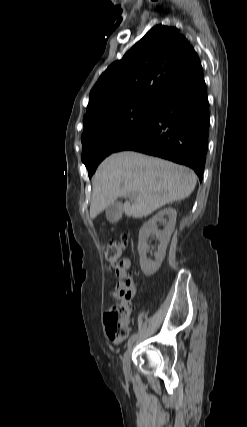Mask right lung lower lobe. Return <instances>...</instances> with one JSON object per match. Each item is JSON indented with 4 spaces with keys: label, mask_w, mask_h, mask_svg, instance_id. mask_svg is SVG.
I'll return each mask as SVG.
<instances>
[{
    "label": "right lung lower lobe",
    "mask_w": 247,
    "mask_h": 427,
    "mask_svg": "<svg viewBox=\"0 0 247 427\" xmlns=\"http://www.w3.org/2000/svg\"><path fill=\"white\" fill-rule=\"evenodd\" d=\"M209 125V103L202 73L160 102L152 119L116 152L133 150L189 166L202 181Z\"/></svg>",
    "instance_id": "obj_1"
}]
</instances>
